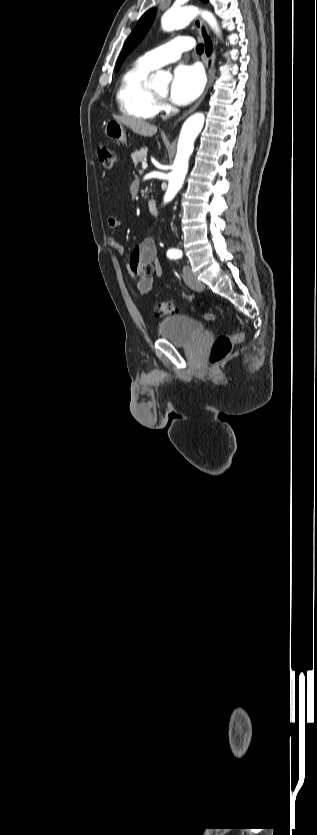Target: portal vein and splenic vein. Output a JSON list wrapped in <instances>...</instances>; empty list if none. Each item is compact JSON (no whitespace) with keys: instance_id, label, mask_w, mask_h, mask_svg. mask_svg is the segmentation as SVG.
I'll use <instances>...</instances> for the list:
<instances>
[{"instance_id":"18ae733b","label":"portal vein and splenic vein","mask_w":317,"mask_h":835,"mask_svg":"<svg viewBox=\"0 0 317 835\" xmlns=\"http://www.w3.org/2000/svg\"><path fill=\"white\" fill-rule=\"evenodd\" d=\"M147 167H148V164H147L146 162H144V163L142 164V169H146Z\"/></svg>"}]
</instances>
